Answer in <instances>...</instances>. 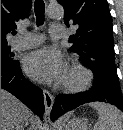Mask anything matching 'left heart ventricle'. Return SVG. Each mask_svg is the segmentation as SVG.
Listing matches in <instances>:
<instances>
[{
  "mask_svg": "<svg viewBox=\"0 0 123 130\" xmlns=\"http://www.w3.org/2000/svg\"><path fill=\"white\" fill-rule=\"evenodd\" d=\"M66 77L72 80L77 79V75L75 74L66 75Z\"/></svg>",
  "mask_w": 123,
  "mask_h": 130,
  "instance_id": "left-heart-ventricle-1",
  "label": "left heart ventricle"
}]
</instances>
